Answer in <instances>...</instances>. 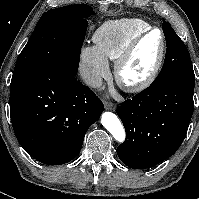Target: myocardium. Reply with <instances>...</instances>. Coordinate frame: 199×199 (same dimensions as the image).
<instances>
[{
	"label": "myocardium",
	"mask_w": 199,
	"mask_h": 199,
	"mask_svg": "<svg viewBox=\"0 0 199 199\" xmlns=\"http://www.w3.org/2000/svg\"><path fill=\"white\" fill-rule=\"evenodd\" d=\"M158 32L161 35V48L158 58L147 76L137 81H129L124 76V68L131 59L138 45L151 33ZM167 41L164 32L160 28L150 27L149 29L138 34L125 48L122 54L115 62V78L117 83L127 92L137 93L148 88L158 77L163 66L166 55Z\"/></svg>",
	"instance_id": "myocardium-1"
}]
</instances>
